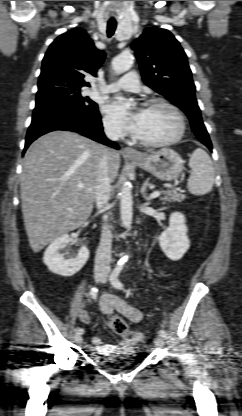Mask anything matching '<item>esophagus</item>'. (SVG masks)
Returning <instances> with one entry per match:
<instances>
[{
    "instance_id": "34e87169",
    "label": "esophagus",
    "mask_w": 242,
    "mask_h": 416,
    "mask_svg": "<svg viewBox=\"0 0 242 416\" xmlns=\"http://www.w3.org/2000/svg\"><path fill=\"white\" fill-rule=\"evenodd\" d=\"M123 154L129 158H141L142 156L135 149L131 147H125L123 149Z\"/></svg>"
}]
</instances>
